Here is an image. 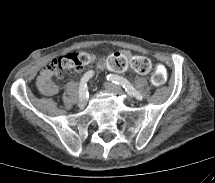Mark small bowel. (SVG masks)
Segmentation results:
<instances>
[{
	"instance_id": "1",
	"label": "small bowel",
	"mask_w": 215,
	"mask_h": 183,
	"mask_svg": "<svg viewBox=\"0 0 215 183\" xmlns=\"http://www.w3.org/2000/svg\"><path fill=\"white\" fill-rule=\"evenodd\" d=\"M131 53L127 50L109 52L100 58L97 67L100 70L108 69L123 74L132 71L137 76H146L152 70V61L145 54H136L131 59ZM56 73L51 64L42 69L37 77L36 87L44 96H54L58 93V87L52 82Z\"/></svg>"
}]
</instances>
